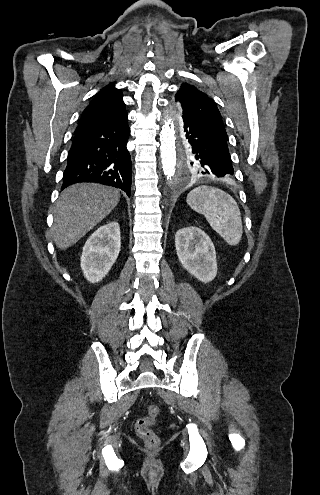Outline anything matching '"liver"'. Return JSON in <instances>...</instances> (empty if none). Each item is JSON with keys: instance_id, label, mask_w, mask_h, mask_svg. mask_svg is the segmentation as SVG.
<instances>
[{"instance_id": "6515ba94", "label": "liver", "mask_w": 320, "mask_h": 495, "mask_svg": "<svg viewBox=\"0 0 320 495\" xmlns=\"http://www.w3.org/2000/svg\"><path fill=\"white\" fill-rule=\"evenodd\" d=\"M117 189L93 183H77L64 189L54 210L53 240L67 249L93 229L117 206Z\"/></svg>"}]
</instances>
